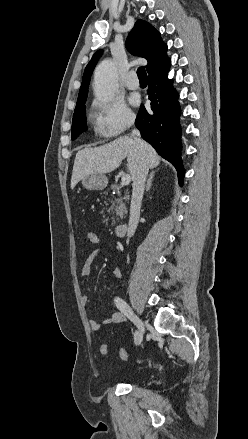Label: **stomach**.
I'll return each mask as SVG.
<instances>
[{
  "instance_id": "0dacf381",
  "label": "stomach",
  "mask_w": 248,
  "mask_h": 439,
  "mask_svg": "<svg viewBox=\"0 0 248 439\" xmlns=\"http://www.w3.org/2000/svg\"><path fill=\"white\" fill-rule=\"evenodd\" d=\"M108 184L105 174L94 173L82 179V185L88 190H103Z\"/></svg>"
}]
</instances>
